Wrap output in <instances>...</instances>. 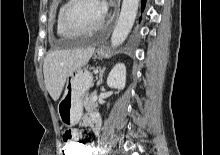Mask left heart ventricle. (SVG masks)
<instances>
[{"label":"left heart ventricle","instance_id":"b2bd125f","mask_svg":"<svg viewBox=\"0 0 220 155\" xmlns=\"http://www.w3.org/2000/svg\"><path fill=\"white\" fill-rule=\"evenodd\" d=\"M69 18L75 25L92 27L104 18V14L98 0H80L71 9Z\"/></svg>","mask_w":220,"mask_h":155}]
</instances>
